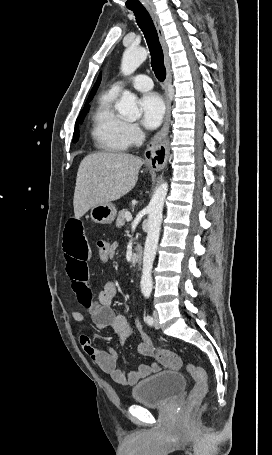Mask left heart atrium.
Listing matches in <instances>:
<instances>
[{"label":"left heart atrium","instance_id":"1","mask_svg":"<svg viewBox=\"0 0 272 455\" xmlns=\"http://www.w3.org/2000/svg\"><path fill=\"white\" fill-rule=\"evenodd\" d=\"M142 112V124L148 129L158 127L164 117L165 106L157 93H146L139 101Z\"/></svg>","mask_w":272,"mask_h":455}]
</instances>
